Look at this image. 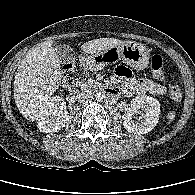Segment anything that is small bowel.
<instances>
[{
    "label": "small bowel",
    "mask_w": 195,
    "mask_h": 195,
    "mask_svg": "<svg viewBox=\"0 0 195 195\" xmlns=\"http://www.w3.org/2000/svg\"><path fill=\"white\" fill-rule=\"evenodd\" d=\"M115 73L120 82L119 88L126 96L146 92L154 95H163L166 92V87L161 82L136 78L132 72L124 66H118ZM114 89L117 93L118 88L114 87Z\"/></svg>",
    "instance_id": "1"
}]
</instances>
